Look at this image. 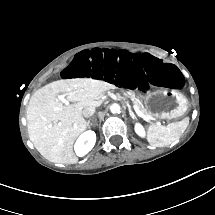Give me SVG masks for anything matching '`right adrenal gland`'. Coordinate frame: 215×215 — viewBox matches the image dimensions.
<instances>
[{
  "label": "right adrenal gland",
  "instance_id": "1",
  "mask_svg": "<svg viewBox=\"0 0 215 215\" xmlns=\"http://www.w3.org/2000/svg\"><path fill=\"white\" fill-rule=\"evenodd\" d=\"M86 126L90 128V120L87 121Z\"/></svg>",
  "mask_w": 215,
  "mask_h": 215
}]
</instances>
